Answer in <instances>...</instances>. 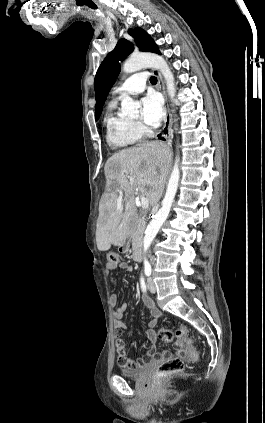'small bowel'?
<instances>
[{"label":"small bowel","instance_id":"small-bowel-1","mask_svg":"<svg viewBox=\"0 0 265 423\" xmlns=\"http://www.w3.org/2000/svg\"><path fill=\"white\" fill-rule=\"evenodd\" d=\"M120 268V269H124L126 271H132V266L129 265L128 263L124 262V261H118V263L116 264H107V271L110 274L111 271ZM113 277L111 275H109V283L113 284ZM118 301V297L116 294H112L110 296V303L112 305H116ZM142 301L144 303V305L149 309L150 311V320L148 322V329H147V339L150 342H154L155 338H156V333H155V326L157 324V322L160 319L161 313L159 311V309L155 306L154 302L151 300V298H149L148 296L143 295L142 296ZM128 308V304L127 303H122L120 304L114 311H113V325H114V329H115V334L117 337L116 340V349L117 352L119 353V362L120 363H131L133 365V367H142L146 364L147 360L153 359L156 357V350L154 347H151L150 349H148V351L145 354V357L143 359H139V360H132L130 358H128L125 354L126 352V346H125V342L123 341V339L120 338V336L122 335V333L126 330L127 326L125 324L124 321V316L126 313V310Z\"/></svg>","mask_w":265,"mask_h":423}]
</instances>
